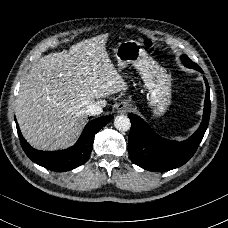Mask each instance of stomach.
Masks as SVG:
<instances>
[{"mask_svg":"<svg viewBox=\"0 0 228 228\" xmlns=\"http://www.w3.org/2000/svg\"><path fill=\"white\" fill-rule=\"evenodd\" d=\"M118 70L132 65L137 69L149 91V107L153 116H162L171 104V77L157 68L143 45L137 41L120 42L114 51ZM127 103V101H123Z\"/></svg>","mask_w":228,"mask_h":228,"instance_id":"1","label":"stomach"}]
</instances>
